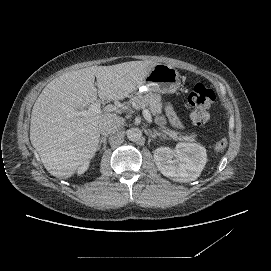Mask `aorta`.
Segmentation results:
<instances>
[{
  "label": "aorta",
  "instance_id": "obj_1",
  "mask_svg": "<svg viewBox=\"0 0 271 271\" xmlns=\"http://www.w3.org/2000/svg\"><path fill=\"white\" fill-rule=\"evenodd\" d=\"M126 134L127 138L132 142H137L142 138V131L139 128H130Z\"/></svg>",
  "mask_w": 271,
  "mask_h": 271
}]
</instances>
